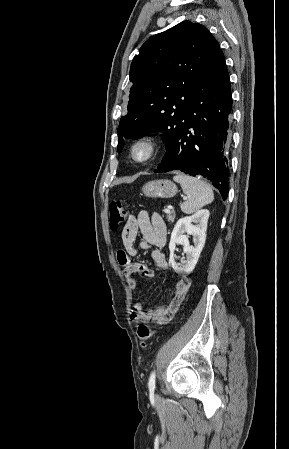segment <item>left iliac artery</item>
Masks as SVG:
<instances>
[{
	"mask_svg": "<svg viewBox=\"0 0 289 449\" xmlns=\"http://www.w3.org/2000/svg\"><path fill=\"white\" fill-rule=\"evenodd\" d=\"M155 371H153L149 377V381H148V388L150 391H154L155 389Z\"/></svg>",
	"mask_w": 289,
	"mask_h": 449,
	"instance_id": "1",
	"label": "left iliac artery"
}]
</instances>
